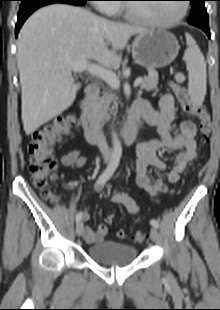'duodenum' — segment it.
Listing matches in <instances>:
<instances>
[{"label": "duodenum", "instance_id": "1", "mask_svg": "<svg viewBox=\"0 0 220 310\" xmlns=\"http://www.w3.org/2000/svg\"><path fill=\"white\" fill-rule=\"evenodd\" d=\"M99 93L96 84L89 85L80 103V122L84 135L90 143L97 142L100 135V122L95 113L94 104ZM141 114L135 109H129L125 128L119 133L124 144H131L137 135V125Z\"/></svg>", "mask_w": 220, "mask_h": 310}]
</instances>
